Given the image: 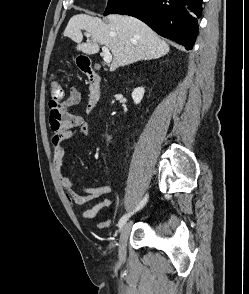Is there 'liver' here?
Returning <instances> with one entry per match:
<instances>
[{
    "label": "liver",
    "instance_id": "6515ba94",
    "mask_svg": "<svg viewBox=\"0 0 249 294\" xmlns=\"http://www.w3.org/2000/svg\"><path fill=\"white\" fill-rule=\"evenodd\" d=\"M85 30L91 40L82 43ZM63 35L77 43L76 49L87 55L99 52L106 45L113 54L110 71L141 60L158 59L169 52V45L140 20L122 15H110L108 23L87 14L74 15Z\"/></svg>",
    "mask_w": 249,
    "mask_h": 294
}]
</instances>
